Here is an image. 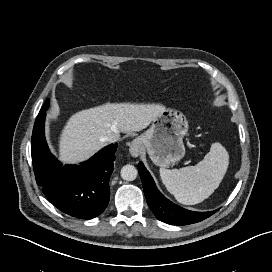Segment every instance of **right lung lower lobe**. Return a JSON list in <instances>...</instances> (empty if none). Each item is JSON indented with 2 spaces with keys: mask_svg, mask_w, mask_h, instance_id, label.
<instances>
[{
  "mask_svg": "<svg viewBox=\"0 0 272 272\" xmlns=\"http://www.w3.org/2000/svg\"><path fill=\"white\" fill-rule=\"evenodd\" d=\"M45 111L34 124L31 155L36 182L62 212L81 219L99 216L110 198L109 179L114 170L117 143L80 165H62L49 151L44 135Z\"/></svg>",
  "mask_w": 272,
  "mask_h": 272,
  "instance_id": "obj_1",
  "label": "right lung lower lobe"
}]
</instances>
